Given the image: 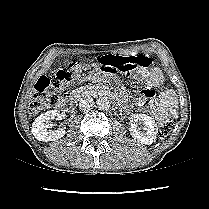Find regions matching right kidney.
<instances>
[{
	"mask_svg": "<svg viewBox=\"0 0 209 209\" xmlns=\"http://www.w3.org/2000/svg\"><path fill=\"white\" fill-rule=\"evenodd\" d=\"M60 117V111L50 110L40 116H38L35 121L32 123V133L35 138L39 141L48 142L55 141L62 138L65 135L64 129L58 130H48L49 120Z\"/></svg>",
	"mask_w": 209,
	"mask_h": 209,
	"instance_id": "obj_1",
	"label": "right kidney"
}]
</instances>
